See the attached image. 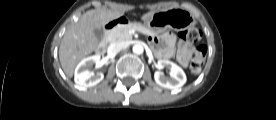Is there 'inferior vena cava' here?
I'll list each match as a JSON object with an SVG mask.
<instances>
[{
    "label": "inferior vena cava",
    "instance_id": "602c4592",
    "mask_svg": "<svg viewBox=\"0 0 276 120\" xmlns=\"http://www.w3.org/2000/svg\"><path fill=\"white\" fill-rule=\"evenodd\" d=\"M125 46L124 42H116L109 46L108 48V54L109 55H116L118 52H120Z\"/></svg>",
    "mask_w": 276,
    "mask_h": 120
}]
</instances>
